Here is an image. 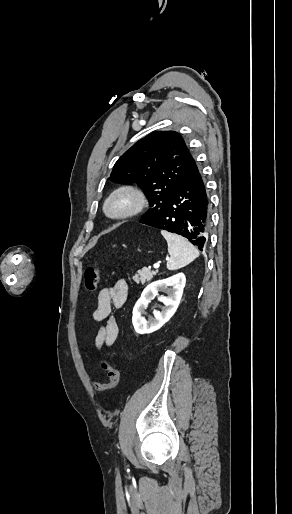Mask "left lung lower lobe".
Masks as SVG:
<instances>
[{
  "label": "left lung lower lobe",
  "instance_id": "1",
  "mask_svg": "<svg viewBox=\"0 0 292 514\" xmlns=\"http://www.w3.org/2000/svg\"><path fill=\"white\" fill-rule=\"evenodd\" d=\"M159 211L156 218L139 222L182 235L201 251L206 247L210 221L209 200L194 159L182 182L162 203Z\"/></svg>",
  "mask_w": 292,
  "mask_h": 514
}]
</instances>
